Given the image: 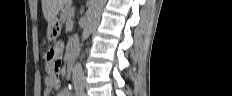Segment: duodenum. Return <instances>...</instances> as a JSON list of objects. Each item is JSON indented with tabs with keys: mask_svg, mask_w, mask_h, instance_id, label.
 I'll return each instance as SVG.
<instances>
[{
	"mask_svg": "<svg viewBox=\"0 0 232 96\" xmlns=\"http://www.w3.org/2000/svg\"><path fill=\"white\" fill-rule=\"evenodd\" d=\"M77 54H78L77 48H73L70 51L67 66H66V76H70L72 74Z\"/></svg>",
	"mask_w": 232,
	"mask_h": 96,
	"instance_id": "1",
	"label": "duodenum"
}]
</instances>
